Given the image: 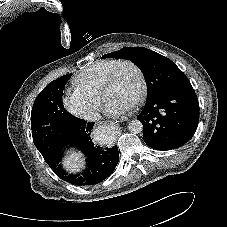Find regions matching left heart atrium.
Here are the masks:
<instances>
[{"instance_id": "1", "label": "left heart atrium", "mask_w": 227, "mask_h": 227, "mask_svg": "<svg viewBox=\"0 0 227 227\" xmlns=\"http://www.w3.org/2000/svg\"><path fill=\"white\" fill-rule=\"evenodd\" d=\"M131 107V104L116 101H107L105 105V113L109 117H120L126 114Z\"/></svg>"}]
</instances>
